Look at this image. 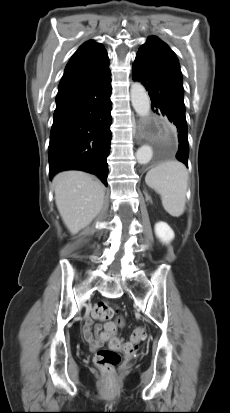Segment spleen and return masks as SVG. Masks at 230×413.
Wrapping results in <instances>:
<instances>
[{
  "mask_svg": "<svg viewBox=\"0 0 230 413\" xmlns=\"http://www.w3.org/2000/svg\"><path fill=\"white\" fill-rule=\"evenodd\" d=\"M188 178L186 167L172 160L152 168L146 174L145 182L160 194L166 212L179 217L185 210Z\"/></svg>",
  "mask_w": 230,
  "mask_h": 413,
  "instance_id": "obj_1",
  "label": "spleen"
}]
</instances>
